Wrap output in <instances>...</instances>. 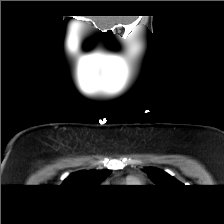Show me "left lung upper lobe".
<instances>
[{"instance_id":"5c2ea615","label":"left lung upper lobe","mask_w":224,"mask_h":224,"mask_svg":"<svg viewBox=\"0 0 224 224\" xmlns=\"http://www.w3.org/2000/svg\"><path fill=\"white\" fill-rule=\"evenodd\" d=\"M147 175L158 187H174L182 185L179 181L174 179L165 171L154 168V167H145Z\"/></svg>"}]
</instances>
